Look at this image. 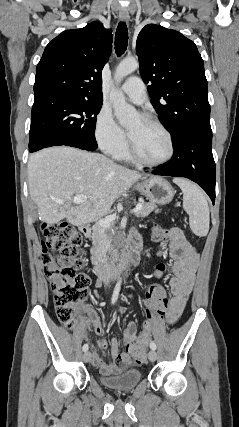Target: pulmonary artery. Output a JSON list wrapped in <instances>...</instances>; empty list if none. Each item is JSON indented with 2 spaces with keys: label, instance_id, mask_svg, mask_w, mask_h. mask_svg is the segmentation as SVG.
Segmentation results:
<instances>
[{
  "label": "pulmonary artery",
  "instance_id": "obj_1",
  "mask_svg": "<svg viewBox=\"0 0 239 427\" xmlns=\"http://www.w3.org/2000/svg\"><path fill=\"white\" fill-rule=\"evenodd\" d=\"M122 92L134 103L142 104L146 100V91L143 81L138 77H131L121 86Z\"/></svg>",
  "mask_w": 239,
  "mask_h": 427
}]
</instances>
